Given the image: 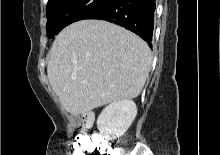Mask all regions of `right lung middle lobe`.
<instances>
[{"label": "right lung middle lobe", "mask_w": 220, "mask_h": 155, "mask_svg": "<svg viewBox=\"0 0 220 155\" xmlns=\"http://www.w3.org/2000/svg\"><path fill=\"white\" fill-rule=\"evenodd\" d=\"M114 0H52L47 3L46 31L53 38L65 26L106 7Z\"/></svg>", "instance_id": "right-lung-middle-lobe-1"}]
</instances>
